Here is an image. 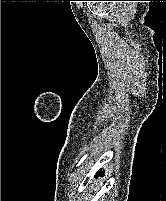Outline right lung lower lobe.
<instances>
[{"instance_id":"obj_1","label":"right lung lower lobe","mask_w":166,"mask_h":201,"mask_svg":"<svg viewBox=\"0 0 166 201\" xmlns=\"http://www.w3.org/2000/svg\"><path fill=\"white\" fill-rule=\"evenodd\" d=\"M102 173V171L100 170L99 172H98V174H101Z\"/></svg>"}]
</instances>
